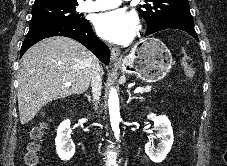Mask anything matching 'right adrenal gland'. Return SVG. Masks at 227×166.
I'll list each match as a JSON object with an SVG mask.
<instances>
[{"label":"right adrenal gland","instance_id":"1","mask_svg":"<svg viewBox=\"0 0 227 166\" xmlns=\"http://www.w3.org/2000/svg\"><path fill=\"white\" fill-rule=\"evenodd\" d=\"M85 96L87 97L88 102L91 103V101H92L91 96L90 95H87V94H85Z\"/></svg>","mask_w":227,"mask_h":166}]
</instances>
